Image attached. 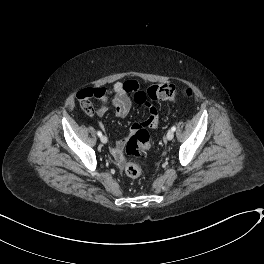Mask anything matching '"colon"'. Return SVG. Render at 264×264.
Returning <instances> with one entry per match:
<instances>
[{
	"label": "colon",
	"instance_id": "1",
	"mask_svg": "<svg viewBox=\"0 0 264 264\" xmlns=\"http://www.w3.org/2000/svg\"><path fill=\"white\" fill-rule=\"evenodd\" d=\"M94 96L93 89L83 90L79 94V102L82 110L86 113L93 111L91 99ZM192 97V90L189 88L179 92L174 86L169 84H156L145 90L138 91L135 94V101L142 105H153L158 100L178 101L180 98L189 100ZM151 148L150 136L139 125L136 126V132L129 139L126 152L131 156H137L140 150H149ZM125 174L131 179H137L142 176L143 168L140 162H130L125 168Z\"/></svg>",
	"mask_w": 264,
	"mask_h": 264
}]
</instances>
